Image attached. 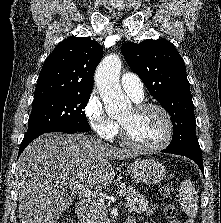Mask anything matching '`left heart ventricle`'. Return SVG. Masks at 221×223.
<instances>
[{"instance_id": "left-heart-ventricle-1", "label": "left heart ventricle", "mask_w": 221, "mask_h": 223, "mask_svg": "<svg viewBox=\"0 0 221 223\" xmlns=\"http://www.w3.org/2000/svg\"><path fill=\"white\" fill-rule=\"evenodd\" d=\"M119 121L126 127L133 141L144 145L159 143L167 130L164 117L153 109L135 111L131 108L122 115Z\"/></svg>"}]
</instances>
